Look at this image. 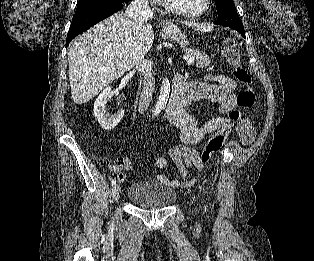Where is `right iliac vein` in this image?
<instances>
[{
  "label": "right iliac vein",
  "mask_w": 314,
  "mask_h": 261,
  "mask_svg": "<svg viewBox=\"0 0 314 261\" xmlns=\"http://www.w3.org/2000/svg\"><path fill=\"white\" fill-rule=\"evenodd\" d=\"M112 196L115 200L119 199V197H120V186L118 184L113 185Z\"/></svg>",
  "instance_id": "right-iliac-vein-1"
}]
</instances>
